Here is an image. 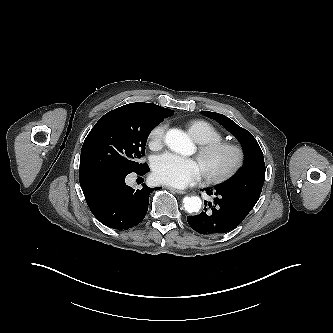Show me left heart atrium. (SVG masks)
I'll list each match as a JSON object with an SVG mask.
<instances>
[{
  "mask_svg": "<svg viewBox=\"0 0 333 333\" xmlns=\"http://www.w3.org/2000/svg\"><path fill=\"white\" fill-rule=\"evenodd\" d=\"M153 175L163 184L183 188L200 180L202 169L195 159L172 153L157 156L153 161Z\"/></svg>",
  "mask_w": 333,
  "mask_h": 333,
  "instance_id": "39dd6f15",
  "label": "left heart atrium"
}]
</instances>
